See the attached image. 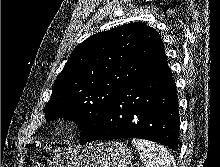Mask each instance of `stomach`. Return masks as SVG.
Returning <instances> with one entry per match:
<instances>
[{"label":"stomach","instance_id":"stomach-1","mask_svg":"<svg viewBox=\"0 0 220 167\" xmlns=\"http://www.w3.org/2000/svg\"><path fill=\"white\" fill-rule=\"evenodd\" d=\"M49 167H132V154L123 143H100L57 155Z\"/></svg>","mask_w":220,"mask_h":167}]
</instances>
